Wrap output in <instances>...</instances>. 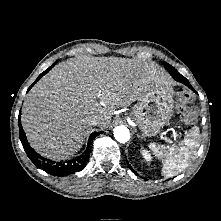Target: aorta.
Returning a JSON list of instances; mask_svg holds the SVG:
<instances>
[{
  "label": "aorta",
  "instance_id": "obj_1",
  "mask_svg": "<svg viewBox=\"0 0 221 221\" xmlns=\"http://www.w3.org/2000/svg\"><path fill=\"white\" fill-rule=\"evenodd\" d=\"M114 137L120 143H126L130 138L129 129L125 126H117L114 129Z\"/></svg>",
  "mask_w": 221,
  "mask_h": 221
}]
</instances>
